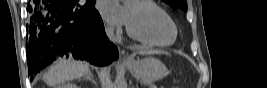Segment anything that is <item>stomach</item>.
<instances>
[{
    "label": "stomach",
    "instance_id": "1",
    "mask_svg": "<svg viewBox=\"0 0 267 88\" xmlns=\"http://www.w3.org/2000/svg\"><path fill=\"white\" fill-rule=\"evenodd\" d=\"M132 75L144 81H157L168 74V69L159 60L153 57H147L142 60H135L127 64Z\"/></svg>",
    "mask_w": 267,
    "mask_h": 88
}]
</instances>
